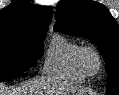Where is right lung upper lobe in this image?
<instances>
[{"label": "right lung upper lobe", "instance_id": "right-lung-upper-lobe-1", "mask_svg": "<svg viewBox=\"0 0 119 95\" xmlns=\"http://www.w3.org/2000/svg\"><path fill=\"white\" fill-rule=\"evenodd\" d=\"M52 7L32 5L24 0L13 2L0 11V35L18 31H47Z\"/></svg>", "mask_w": 119, "mask_h": 95}]
</instances>
